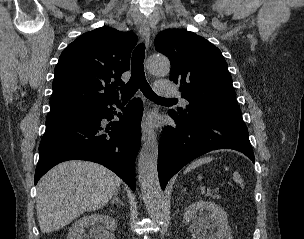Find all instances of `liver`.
<instances>
[{"label":"liver","instance_id":"obj_1","mask_svg":"<svg viewBox=\"0 0 304 239\" xmlns=\"http://www.w3.org/2000/svg\"><path fill=\"white\" fill-rule=\"evenodd\" d=\"M120 184L116 174L93 162L72 160L58 164L37 185L41 232L59 230L84 212L105 206Z\"/></svg>","mask_w":304,"mask_h":239}]
</instances>
